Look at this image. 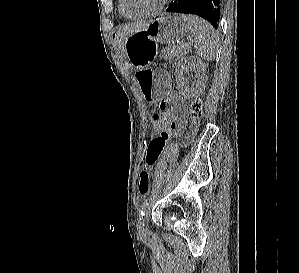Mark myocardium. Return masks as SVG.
I'll return each instance as SVG.
<instances>
[{"label":"myocardium","instance_id":"myocardium-1","mask_svg":"<svg viewBox=\"0 0 299 273\" xmlns=\"http://www.w3.org/2000/svg\"><path fill=\"white\" fill-rule=\"evenodd\" d=\"M170 0H162L161 3L154 8L153 10L143 13V14H130L129 12H127V10L125 9V5H124V0H119V7L121 12L130 19H143V18H148V17H152L155 16L157 14H159L160 12H162L166 6L168 5Z\"/></svg>","mask_w":299,"mask_h":273}]
</instances>
